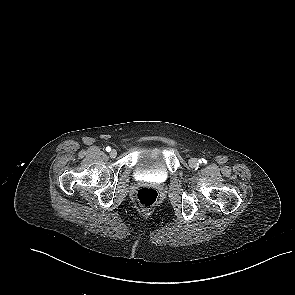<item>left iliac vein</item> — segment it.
<instances>
[{"label":"left iliac vein","mask_w":295,"mask_h":295,"mask_svg":"<svg viewBox=\"0 0 295 295\" xmlns=\"http://www.w3.org/2000/svg\"><path fill=\"white\" fill-rule=\"evenodd\" d=\"M189 165H190V167H192V168H196V167H198L199 162H198V160H197L196 158H191V159L189 160Z\"/></svg>","instance_id":"4c4485c4"}]
</instances>
